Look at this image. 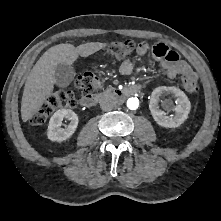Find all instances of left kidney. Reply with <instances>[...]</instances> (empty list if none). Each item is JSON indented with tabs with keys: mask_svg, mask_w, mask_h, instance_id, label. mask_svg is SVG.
<instances>
[{
	"mask_svg": "<svg viewBox=\"0 0 221 221\" xmlns=\"http://www.w3.org/2000/svg\"><path fill=\"white\" fill-rule=\"evenodd\" d=\"M166 94H172L173 97L176 98V106H172L170 100L164 101L166 107H170L173 111H175V115L172 117L167 116V114L160 110L158 106L160 98ZM149 108L153 119L158 125L166 128H177L188 118L191 103L185 93L180 89L176 87L163 86L154 89L152 92Z\"/></svg>",
	"mask_w": 221,
	"mask_h": 221,
	"instance_id": "left-kidney-1",
	"label": "left kidney"
}]
</instances>
